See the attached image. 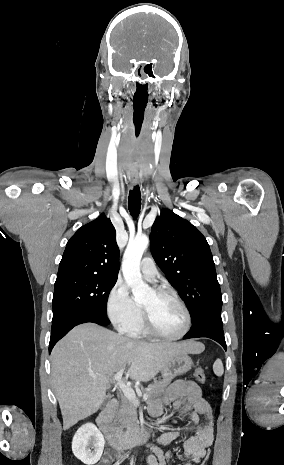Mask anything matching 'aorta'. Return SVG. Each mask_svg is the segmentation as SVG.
<instances>
[{"mask_svg":"<svg viewBox=\"0 0 284 465\" xmlns=\"http://www.w3.org/2000/svg\"><path fill=\"white\" fill-rule=\"evenodd\" d=\"M149 244L146 235H138L130 239L125 250L122 262V272L128 286L132 289L136 302H144L149 298L152 290L146 285L140 272V261Z\"/></svg>","mask_w":284,"mask_h":465,"instance_id":"762f6f07","label":"aorta"}]
</instances>
